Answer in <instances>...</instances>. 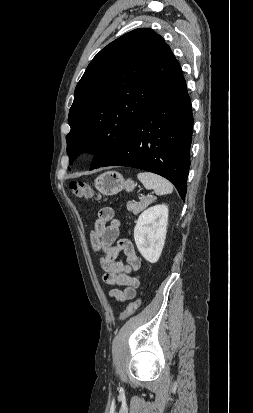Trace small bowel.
Segmentation results:
<instances>
[{
	"label": "small bowel",
	"mask_w": 253,
	"mask_h": 413,
	"mask_svg": "<svg viewBox=\"0 0 253 413\" xmlns=\"http://www.w3.org/2000/svg\"><path fill=\"white\" fill-rule=\"evenodd\" d=\"M120 227L121 222L115 218L114 210L110 207L101 208L90 241L93 250L101 254L103 280L111 287L110 296L124 302L136 297V288L140 282L133 274L140 269L141 260L129 239H118ZM121 252L125 255L126 262L117 260Z\"/></svg>",
	"instance_id": "small-bowel-1"
}]
</instances>
